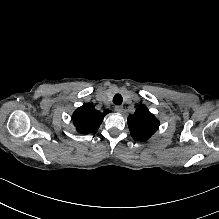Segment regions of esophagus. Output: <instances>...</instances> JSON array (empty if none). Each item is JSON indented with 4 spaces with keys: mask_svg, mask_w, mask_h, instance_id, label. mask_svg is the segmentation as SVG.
<instances>
[{
    "mask_svg": "<svg viewBox=\"0 0 219 219\" xmlns=\"http://www.w3.org/2000/svg\"><path fill=\"white\" fill-rule=\"evenodd\" d=\"M115 111L118 113H122L123 112V107L122 106H115Z\"/></svg>",
    "mask_w": 219,
    "mask_h": 219,
    "instance_id": "34e87169",
    "label": "esophagus"
}]
</instances>
